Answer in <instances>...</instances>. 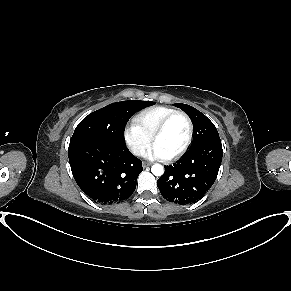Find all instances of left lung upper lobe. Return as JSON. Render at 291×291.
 Here are the masks:
<instances>
[{
	"label": "left lung upper lobe",
	"instance_id": "obj_1",
	"mask_svg": "<svg viewBox=\"0 0 291 291\" xmlns=\"http://www.w3.org/2000/svg\"><path fill=\"white\" fill-rule=\"evenodd\" d=\"M174 105L182 109L193 123L194 136L191 147L213 138H219L218 131L214 124L200 111L186 104L177 103Z\"/></svg>",
	"mask_w": 291,
	"mask_h": 291
}]
</instances>
